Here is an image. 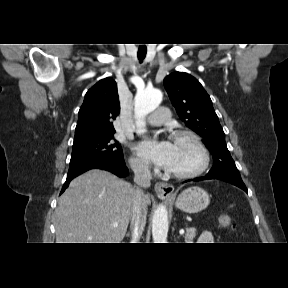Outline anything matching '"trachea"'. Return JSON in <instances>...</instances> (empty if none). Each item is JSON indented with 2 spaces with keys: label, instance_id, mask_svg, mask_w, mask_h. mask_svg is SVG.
<instances>
[{
  "label": "trachea",
  "instance_id": "1",
  "mask_svg": "<svg viewBox=\"0 0 288 288\" xmlns=\"http://www.w3.org/2000/svg\"><path fill=\"white\" fill-rule=\"evenodd\" d=\"M146 53H147L146 48H142L138 50L137 56H138L140 63L143 62L144 58L146 57Z\"/></svg>",
  "mask_w": 288,
  "mask_h": 288
}]
</instances>
